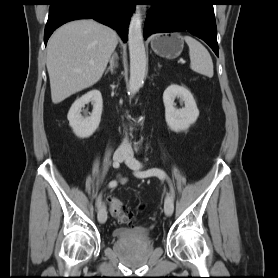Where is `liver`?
Masks as SVG:
<instances>
[{
    "label": "liver",
    "instance_id": "liver-1",
    "mask_svg": "<svg viewBox=\"0 0 278 278\" xmlns=\"http://www.w3.org/2000/svg\"><path fill=\"white\" fill-rule=\"evenodd\" d=\"M117 44L116 31L94 20H76L57 29L47 45L52 102L58 104L98 82Z\"/></svg>",
    "mask_w": 278,
    "mask_h": 278
}]
</instances>
